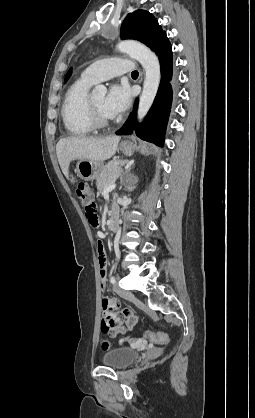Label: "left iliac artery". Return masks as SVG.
<instances>
[{"label":"left iliac artery","mask_w":255,"mask_h":418,"mask_svg":"<svg viewBox=\"0 0 255 418\" xmlns=\"http://www.w3.org/2000/svg\"><path fill=\"white\" fill-rule=\"evenodd\" d=\"M110 282H111L112 284H114V283L116 282V279H115V277H114V276H111V277H110Z\"/></svg>","instance_id":"obj_1"}]
</instances>
